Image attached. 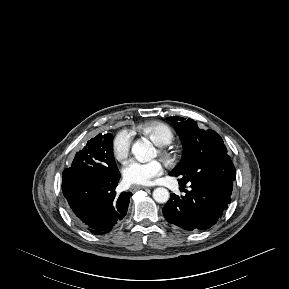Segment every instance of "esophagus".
<instances>
[{
    "label": "esophagus",
    "mask_w": 289,
    "mask_h": 289,
    "mask_svg": "<svg viewBox=\"0 0 289 289\" xmlns=\"http://www.w3.org/2000/svg\"><path fill=\"white\" fill-rule=\"evenodd\" d=\"M146 187H144V186H137V185H134V186H132L131 188H130V190H131V192H135V191H137V190H139V189H145Z\"/></svg>",
    "instance_id": "34e87169"
}]
</instances>
